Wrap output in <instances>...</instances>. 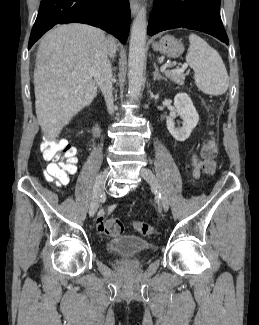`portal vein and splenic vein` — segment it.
<instances>
[{
  "instance_id": "obj_1",
  "label": "portal vein and splenic vein",
  "mask_w": 259,
  "mask_h": 325,
  "mask_svg": "<svg viewBox=\"0 0 259 325\" xmlns=\"http://www.w3.org/2000/svg\"><path fill=\"white\" fill-rule=\"evenodd\" d=\"M188 65L187 64H183L181 68H176L173 69L171 71H167V72H183L185 69H187Z\"/></svg>"
}]
</instances>
